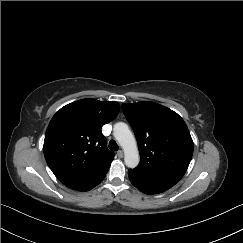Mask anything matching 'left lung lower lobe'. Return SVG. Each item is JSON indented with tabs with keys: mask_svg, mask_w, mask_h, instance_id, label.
<instances>
[{
	"mask_svg": "<svg viewBox=\"0 0 243 243\" xmlns=\"http://www.w3.org/2000/svg\"><path fill=\"white\" fill-rule=\"evenodd\" d=\"M182 171H167L139 176L128 171L131 183L145 194H157L174 186L184 175Z\"/></svg>",
	"mask_w": 243,
	"mask_h": 243,
	"instance_id": "obj_1",
	"label": "left lung lower lobe"
}]
</instances>
